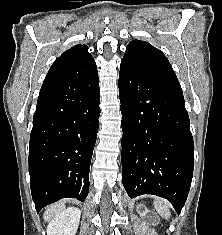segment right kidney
Masks as SVG:
<instances>
[{
	"mask_svg": "<svg viewBox=\"0 0 222 235\" xmlns=\"http://www.w3.org/2000/svg\"><path fill=\"white\" fill-rule=\"evenodd\" d=\"M81 211L68 208L56 215L49 223L47 235H75L79 226Z\"/></svg>",
	"mask_w": 222,
	"mask_h": 235,
	"instance_id": "ca27d5eb",
	"label": "right kidney"
}]
</instances>
